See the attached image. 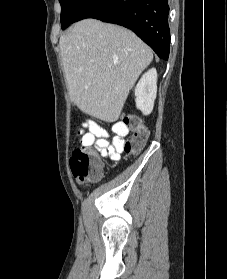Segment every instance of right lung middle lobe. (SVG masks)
<instances>
[{
    "label": "right lung middle lobe",
    "mask_w": 227,
    "mask_h": 279,
    "mask_svg": "<svg viewBox=\"0 0 227 279\" xmlns=\"http://www.w3.org/2000/svg\"><path fill=\"white\" fill-rule=\"evenodd\" d=\"M85 0H59L61 4V27L67 28L74 20Z\"/></svg>",
    "instance_id": "1"
}]
</instances>
